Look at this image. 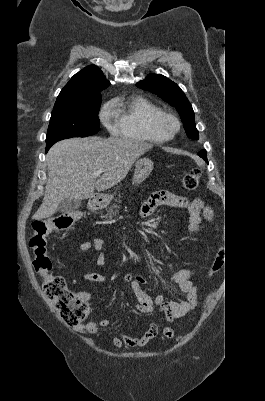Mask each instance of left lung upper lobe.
I'll use <instances>...</instances> for the list:
<instances>
[{
    "label": "left lung upper lobe",
    "mask_w": 265,
    "mask_h": 401,
    "mask_svg": "<svg viewBox=\"0 0 265 401\" xmlns=\"http://www.w3.org/2000/svg\"><path fill=\"white\" fill-rule=\"evenodd\" d=\"M136 85L143 90L156 94L175 107L180 114L187 136L199 139L192 106L176 83L163 75L150 74Z\"/></svg>",
    "instance_id": "5c2ea615"
}]
</instances>
